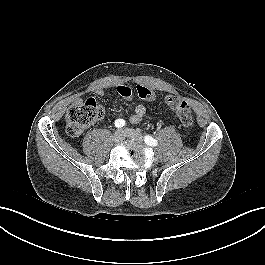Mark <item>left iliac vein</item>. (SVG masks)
Instances as JSON below:
<instances>
[{"label": "left iliac vein", "mask_w": 265, "mask_h": 265, "mask_svg": "<svg viewBox=\"0 0 265 265\" xmlns=\"http://www.w3.org/2000/svg\"><path fill=\"white\" fill-rule=\"evenodd\" d=\"M125 134L130 139H134V140H138V141H142L143 140L142 134L140 132L134 130V129L127 128L125 130Z\"/></svg>", "instance_id": "left-iliac-vein-1"}]
</instances>
